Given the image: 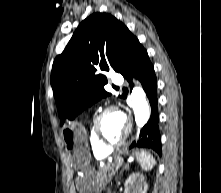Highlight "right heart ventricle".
<instances>
[{
	"label": "right heart ventricle",
	"mask_w": 221,
	"mask_h": 193,
	"mask_svg": "<svg viewBox=\"0 0 221 193\" xmlns=\"http://www.w3.org/2000/svg\"><path fill=\"white\" fill-rule=\"evenodd\" d=\"M89 143H90L94 156L97 158L106 157L110 153L108 149L101 146L95 139L94 134H93V122L91 123L90 130H89Z\"/></svg>",
	"instance_id": "1"
}]
</instances>
